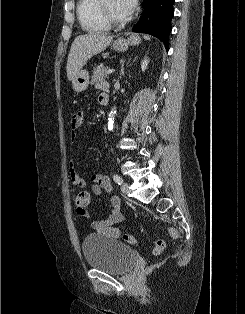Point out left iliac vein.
Instances as JSON below:
<instances>
[{"instance_id":"obj_1","label":"left iliac vein","mask_w":245,"mask_h":314,"mask_svg":"<svg viewBox=\"0 0 245 314\" xmlns=\"http://www.w3.org/2000/svg\"><path fill=\"white\" fill-rule=\"evenodd\" d=\"M121 190H122L123 193L127 194L128 191H129V185H128V183H126V182L122 183V184H121Z\"/></svg>"}]
</instances>
